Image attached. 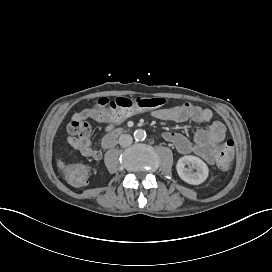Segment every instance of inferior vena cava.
Segmentation results:
<instances>
[{"label": "inferior vena cava", "instance_id": "602c4592", "mask_svg": "<svg viewBox=\"0 0 272 272\" xmlns=\"http://www.w3.org/2000/svg\"><path fill=\"white\" fill-rule=\"evenodd\" d=\"M133 142V138L131 135L129 134H122L120 137H119V144L123 147H127L129 145H131Z\"/></svg>", "mask_w": 272, "mask_h": 272}]
</instances>
